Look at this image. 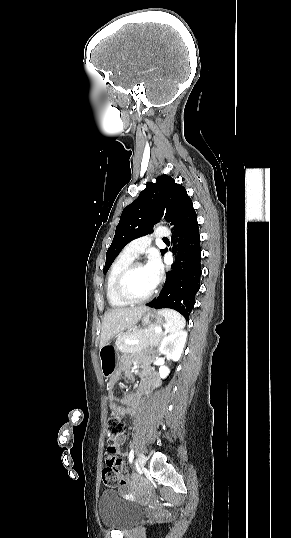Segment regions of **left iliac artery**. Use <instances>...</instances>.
<instances>
[{"instance_id":"left-iliac-artery-1","label":"left iliac artery","mask_w":291,"mask_h":538,"mask_svg":"<svg viewBox=\"0 0 291 538\" xmlns=\"http://www.w3.org/2000/svg\"><path fill=\"white\" fill-rule=\"evenodd\" d=\"M133 458H134V450L132 449L129 453V462L132 463L133 461Z\"/></svg>"}]
</instances>
